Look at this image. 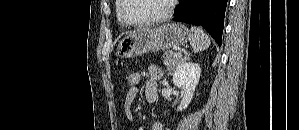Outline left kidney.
Here are the masks:
<instances>
[{
	"mask_svg": "<svg viewBox=\"0 0 299 130\" xmlns=\"http://www.w3.org/2000/svg\"><path fill=\"white\" fill-rule=\"evenodd\" d=\"M201 74L200 65L193 62H182L173 74V83L184 91V96L177 111H182L190 104Z\"/></svg>",
	"mask_w": 299,
	"mask_h": 130,
	"instance_id": "1",
	"label": "left kidney"
}]
</instances>
